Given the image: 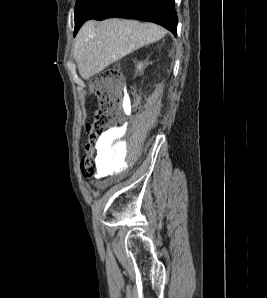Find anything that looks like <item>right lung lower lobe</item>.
Listing matches in <instances>:
<instances>
[{"label": "right lung lower lobe", "instance_id": "98d812e1", "mask_svg": "<svg viewBox=\"0 0 267 298\" xmlns=\"http://www.w3.org/2000/svg\"><path fill=\"white\" fill-rule=\"evenodd\" d=\"M111 17L154 22L164 26L176 36L178 18L174 0H102L86 20H103ZM83 23L75 27L74 35Z\"/></svg>", "mask_w": 267, "mask_h": 298}]
</instances>
